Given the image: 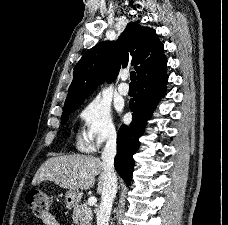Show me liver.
I'll list each match as a JSON object with an SVG mask.
<instances>
[{"mask_svg": "<svg viewBox=\"0 0 228 225\" xmlns=\"http://www.w3.org/2000/svg\"><path fill=\"white\" fill-rule=\"evenodd\" d=\"M100 175L98 193H101L104 183L103 163L97 157L90 155H63L51 157L39 167L32 185H39L42 181H52L62 189L78 191L91 189L95 185V177Z\"/></svg>", "mask_w": 228, "mask_h": 225, "instance_id": "obj_1", "label": "liver"}]
</instances>
